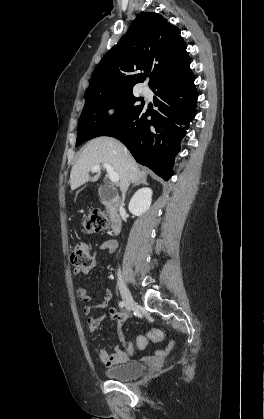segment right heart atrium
<instances>
[{
  "instance_id": "obj_1",
  "label": "right heart atrium",
  "mask_w": 264,
  "mask_h": 419,
  "mask_svg": "<svg viewBox=\"0 0 264 419\" xmlns=\"http://www.w3.org/2000/svg\"><path fill=\"white\" fill-rule=\"evenodd\" d=\"M118 112H119V106L116 104H113L108 108L107 117L113 118L117 115Z\"/></svg>"
}]
</instances>
